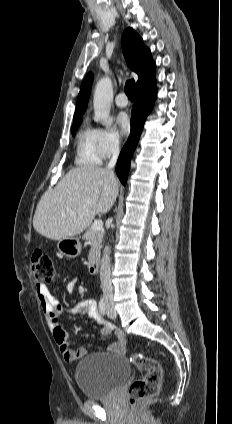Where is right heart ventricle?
<instances>
[{"label": "right heart ventricle", "mask_w": 232, "mask_h": 424, "mask_svg": "<svg viewBox=\"0 0 232 424\" xmlns=\"http://www.w3.org/2000/svg\"><path fill=\"white\" fill-rule=\"evenodd\" d=\"M102 161L97 145V130L83 125L76 135L75 163L79 166H95Z\"/></svg>", "instance_id": "e07e8e85"}]
</instances>
